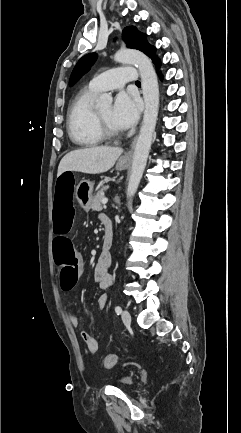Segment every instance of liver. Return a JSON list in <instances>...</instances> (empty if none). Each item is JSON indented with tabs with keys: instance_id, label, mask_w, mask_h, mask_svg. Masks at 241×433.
Listing matches in <instances>:
<instances>
[{
	"instance_id": "liver-1",
	"label": "liver",
	"mask_w": 241,
	"mask_h": 433,
	"mask_svg": "<svg viewBox=\"0 0 241 433\" xmlns=\"http://www.w3.org/2000/svg\"><path fill=\"white\" fill-rule=\"evenodd\" d=\"M123 149L118 147H91L67 153L59 163L57 176L65 171L100 174L111 169Z\"/></svg>"
}]
</instances>
